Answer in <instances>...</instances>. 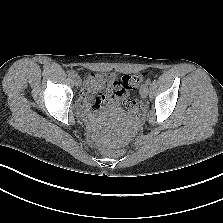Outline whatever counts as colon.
Segmentation results:
<instances>
[{
    "label": "colon",
    "mask_w": 223,
    "mask_h": 223,
    "mask_svg": "<svg viewBox=\"0 0 223 223\" xmlns=\"http://www.w3.org/2000/svg\"><path fill=\"white\" fill-rule=\"evenodd\" d=\"M142 80L143 77L140 75H125L116 77L112 83L115 94L120 97V103L132 114H137L141 105L137 98H129V93L137 90Z\"/></svg>",
    "instance_id": "1"
}]
</instances>
